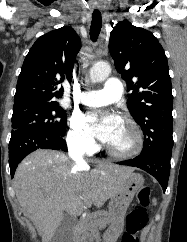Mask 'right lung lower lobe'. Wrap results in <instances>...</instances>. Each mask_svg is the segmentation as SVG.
<instances>
[{"mask_svg":"<svg viewBox=\"0 0 187 242\" xmlns=\"http://www.w3.org/2000/svg\"><path fill=\"white\" fill-rule=\"evenodd\" d=\"M37 149L67 151L63 136L43 132L19 131L11 134L9 143V166L11 177L25 156Z\"/></svg>","mask_w":187,"mask_h":242,"instance_id":"1","label":"right lung lower lobe"}]
</instances>
